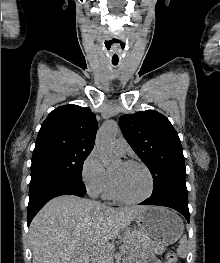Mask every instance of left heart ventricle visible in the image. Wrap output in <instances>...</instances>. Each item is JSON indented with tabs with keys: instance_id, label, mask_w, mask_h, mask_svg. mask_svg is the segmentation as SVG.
I'll return each mask as SVG.
<instances>
[{
	"instance_id": "obj_1",
	"label": "left heart ventricle",
	"mask_w": 220,
	"mask_h": 263,
	"mask_svg": "<svg viewBox=\"0 0 220 263\" xmlns=\"http://www.w3.org/2000/svg\"><path fill=\"white\" fill-rule=\"evenodd\" d=\"M111 173L115 177L119 192L126 198H140L149 190V177L141 166L119 162Z\"/></svg>"
}]
</instances>
